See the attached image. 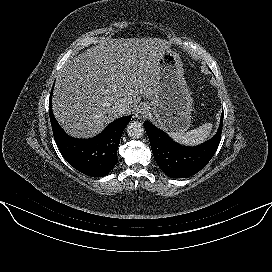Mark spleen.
<instances>
[{
    "mask_svg": "<svg viewBox=\"0 0 272 272\" xmlns=\"http://www.w3.org/2000/svg\"><path fill=\"white\" fill-rule=\"evenodd\" d=\"M212 124L205 123L188 132H170L169 135L176 142L186 145H196L207 139L211 133Z\"/></svg>",
    "mask_w": 272,
    "mask_h": 272,
    "instance_id": "3e777b00",
    "label": "spleen"
}]
</instances>
